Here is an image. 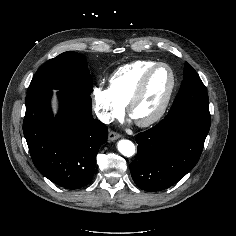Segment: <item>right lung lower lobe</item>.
Here are the masks:
<instances>
[{"label":"right lung lower lobe","instance_id":"1","mask_svg":"<svg viewBox=\"0 0 236 236\" xmlns=\"http://www.w3.org/2000/svg\"><path fill=\"white\" fill-rule=\"evenodd\" d=\"M52 90L26 96L23 132L36 168L50 181L78 189L93 178L99 147L107 141V127L91 114L90 95L59 91L60 110L53 116Z\"/></svg>","mask_w":236,"mask_h":236}]
</instances>
